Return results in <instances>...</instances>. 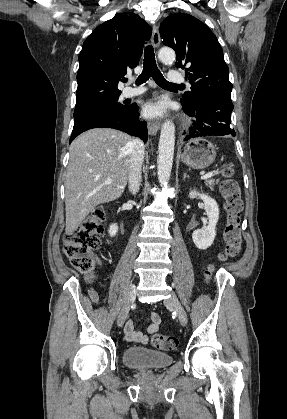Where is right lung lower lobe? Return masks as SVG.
<instances>
[{"mask_svg":"<svg viewBox=\"0 0 287 419\" xmlns=\"http://www.w3.org/2000/svg\"><path fill=\"white\" fill-rule=\"evenodd\" d=\"M92 128H113L147 141V123L139 120L138 107L130 105L128 112L99 113L74 124L69 143L82 132Z\"/></svg>","mask_w":287,"mask_h":419,"instance_id":"1","label":"right lung lower lobe"}]
</instances>
